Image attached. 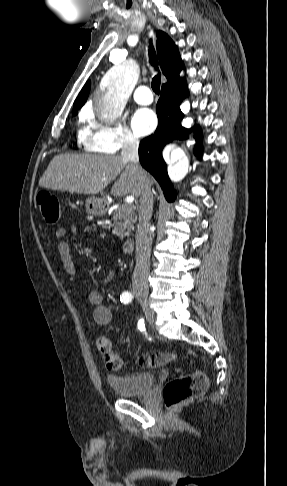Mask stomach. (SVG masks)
Here are the masks:
<instances>
[{"mask_svg": "<svg viewBox=\"0 0 287 486\" xmlns=\"http://www.w3.org/2000/svg\"><path fill=\"white\" fill-rule=\"evenodd\" d=\"M86 211L91 215H100L105 213L106 204L103 199L91 196L86 199Z\"/></svg>", "mask_w": 287, "mask_h": 486, "instance_id": "stomach-1", "label": "stomach"}]
</instances>
